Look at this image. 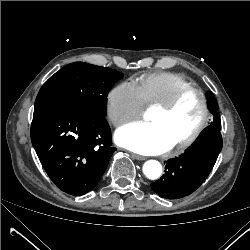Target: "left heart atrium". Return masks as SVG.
<instances>
[{
    "label": "left heart atrium",
    "instance_id": "1",
    "mask_svg": "<svg viewBox=\"0 0 250 250\" xmlns=\"http://www.w3.org/2000/svg\"><path fill=\"white\" fill-rule=\"evenodd\" d=\"M115 140L119 145L140 154H161L174 145L154 123L125 125L116 132Z\"/></svg>",
    "mask_w": 250,
    "mask_h": 250
}]
</instances>
